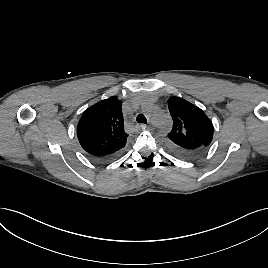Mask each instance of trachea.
<instances>
[{
    "label": "trachea",
    "instance_id": "3493384b",
    "mask_svg": "<svg viewBox=\"0 0 268 268\" xmlns=\"http://www.w3.org/2000/svg\"><path fill=\"white\" fill-rule=\"evenodd\" d=\"M136 121H137L138 123H144V124L147 123V119H146V117H145L143 114H139V115L137 116V118H136Z\"/></svg>",
    "mask_w": 268,
    "mask_h": 268
}]
</instances>
